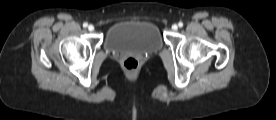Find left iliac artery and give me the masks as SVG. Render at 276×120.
I'll return each instance as SVG.
<instances>
[{
    "instance_id": "1",
    "label": "left iliac artery",
    "mask_w": 276,
    "mask_h": 120,
    "mask_svg": "<svg viewBox=\"0 0 276 120\" xmlns=\"http://www.w3.org/2000/svg\"><path fill=\"white\" fill-rule=\"evenodd\" d=\"M178 26H179V27H183V23H182V22H179V23H178Z\"/></svg>"
}]
</instances>
